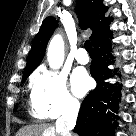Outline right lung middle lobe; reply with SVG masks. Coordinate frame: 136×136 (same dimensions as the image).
Wrapping results in <instances>:
<instances>
[{"label": "right lung middle lobe", "instance_id": "obj_1", "mask_svg": "<svg viewBox=\"0 0 136 136\" xmlns=\"http://www.w3.org/2000/svg\"><path fill=\"white\" fill-rule=\"evenodd\" d=\"M28 75L22 78V82H24L27 79Z\"/></svg>", "mask_w": 136, "mask_h": 136}]
</instances>
